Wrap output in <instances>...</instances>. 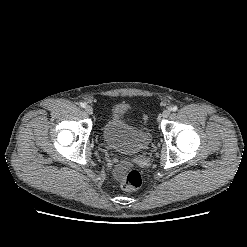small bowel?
Here are the masks:
<instances>
[{
	"mask_svg": "<svg viewBox=\"0 0 247 247\" xmlns=\"http://www.w3.org/2000/svg\"><path fill=\"white\" fill-rule=\"evenodd\" d=\"M126 167L124 165H118L116 166L115 170H114V174L117 178L122 177L124 171H125Z\"/></svg>",
	"mask_w": 247,
	"mask_h": 247,
	"instance_id": "1",
	"label": "small bowel"
}]
</instances>
